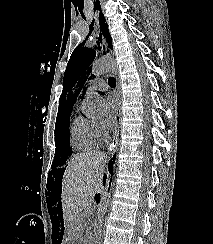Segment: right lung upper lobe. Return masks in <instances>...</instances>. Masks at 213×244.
<instances>
[{
    "label": "right lung upper lobe",
    "mask_w": 213,
    "mask_h": 244,
    "mask_svg": "<svg viewBox=\"0 0 213 244\" xmlns=\"http://www.w3.org/2000/svg\"><path fill=\"white\" fill-rule=\"evenodd\" d=\"M75 101H76V100H74V101L67 107V110H65L64 114H66V113L72 111V108H73V105H74ZM64 114H62V115H64ZM58 117H60V114H58Z\"/></svg>",
    "instance_id": "cb5924a9"
}]
</instances>
